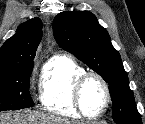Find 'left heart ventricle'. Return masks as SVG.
<instances>
[{"mask_svg":"<svg viewBox=\"0 0 145 124\" xmlns=\"http://www.w3.org/2000/svg\"><path fill=\"white\" fill-rule=\"evenodd\" d=\"M82 102L84 110L88 114H96L102 109L105 102V92L98 81L91 79L86 83Z\"/></svg>","mask_w":145,"mask_h":124,"instance_id":"1","label":"left heart ventricle"}]
</instances>
